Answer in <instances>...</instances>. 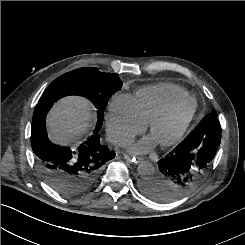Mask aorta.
<instances>
[{
    "label": "aorta",
    "instance_id": "1",
    "mask_svg": "<svg viewBox=\"0 0 245 245\" xmlns=\"http://www.w3.org/2000/svg\"><path fill=\"white\" fill-rule=\"evenodd\" d=\"M138 174L142 179H151L155 173V168L150 162H141L137 167Z\"/></svg>",
    "mask_w": 245,
    "mask_h": 245
}]
</instances>
